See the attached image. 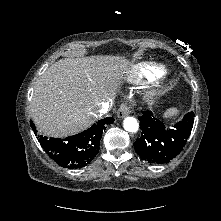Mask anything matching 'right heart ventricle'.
Instances as JSON below:
<instances>
[{
	"instance_id": "e07e8e85",
	"label": "right heart ventricle",
	"mask_w": 221,
	"mask_h": 221,
	"mask_svg": "<svg viewBox=\"0 0 221 221\" xmlns=\"http://www.w3.org/2000/svg\"><path fill=\"white\" fill-rule=\"evenodd\" d=\"M162 73L161 69L156 67V66H142L138 68L134 72V77L136 79H141V78H153L156 76H159Z\"/></svg>"
}]
</instances>
